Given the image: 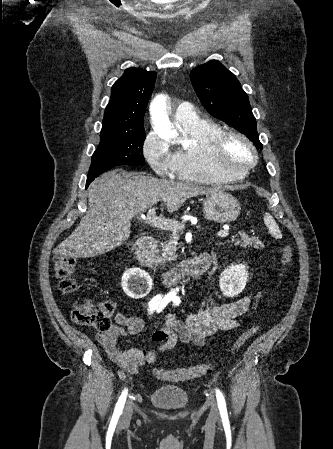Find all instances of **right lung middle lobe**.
Here are the masks:
<instances>
[{
    "label": "right lung middle lobe",
    "mask_w": 333,
    "mask_h": 449,
    "mask_svg": "<svg viewBox=\"0 0 333 449\" xmlns=\"http://www.w3.org/2000/svg\"><path fill=\"white\" fill-rule=\"evenodd\" d=\"M100 144L92 156L88 177L98 175L118 165H144L145 130L136 134L101 133Z\"/></svg>",
    "instance_id": "obj_1"
}]
</instances>
